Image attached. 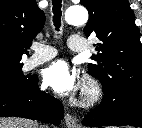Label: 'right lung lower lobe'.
Returning <instances> with one entry per match:
<instances>
[{"label":"right lung lower lobe","mask_w":142,"mask_h":128,"mask_svg":"<svg viewBox=\"0 0 142 128\" xmlns=\"http://www.w3.org/2000/svg\"><path fill=\"white\" fill-rule=\"evenodd\" d=\"M23 117L59 125L64 117L61 102L38 87V78L26 89L0 94V117Z\"/></svg>","instance_id":"obj_1"}]
</instances>
